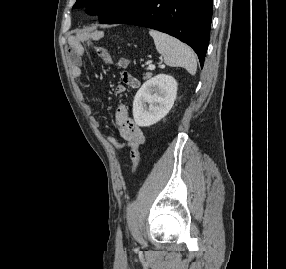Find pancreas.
Instances as JSON below:
<instances>
[{"instance_id":"pancreas-1","label":"pancreas","mask_w":286,"mask_h":269,"mask_svg":"<svg viewBox=\"0 0 286 269\" xmlns=\"http://www.w3.org/2000/svg\"><path fill=\"white\" fill-rule=\"evenodd\" d=\"M152 76V73L150 72H147L145 75H144V79H148Z\"/></svg>"}]
</instances>
